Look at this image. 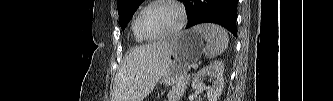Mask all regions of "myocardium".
I'll return each mask as SVG.
<instances>
[{
	"label": "myocardium",
	"mask_w": 333,
	"mask_h": 101,
	"mask_svg": "<svg viewBox=\"0 0 333 101\" xmlns=\"http://www.w3.org/2000/svg\"><path fill=\"white\" fill-rule=\"evenodd\" d=\"M157 4H168V5L175 7L179 13L180 19H179L178 25L172 31L162 34V35H158V36H150L143 30V28L141 26V18L146 10H148L150 7L157 5ZM186 20H187L186 10L180 2L175 1V0H156V1H152V2L148 3L145 7H143L139 11V13L136 16L135 24H136L137 32L145 40H160V39H165V38L174 36L177 33H179L182 30V28L185 26Z\"/></svg>",
	"instance_id": "obj_1"
}]
</instances>
